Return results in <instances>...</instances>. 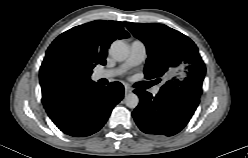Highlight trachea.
Masks as SVG:
<instances>
[{
	"label": "trachea",
	"mask_w": 248,
	"mask_h": 158,
	"mask_svg": "<svg viewBox=\"0 0 248 158\" xmlns=\"http://www.w3.org/2000/svg\"><path fill=\"white\" fill-rule=\"evenodd\" d=\"M151 86V84L150 83H147V87H150Z\"/></svg>",
	"instance_id": "3493384b"
}]
</instances>
